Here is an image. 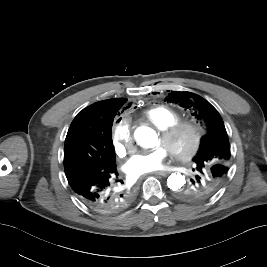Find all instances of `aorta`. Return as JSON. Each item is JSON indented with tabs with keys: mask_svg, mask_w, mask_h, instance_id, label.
Instances as JSON below:
<instances>
[{
	"mask_svg": "<svg viewBox=\"0 0 267 267\" xmlns=\"http://www.w3.org/2000/svg\"><path fill=\"white\" fill-rule=\"evenodd\" d=\"M136 142L145 147L152 148L156 145L158 137L156 132L145 126L138 127L134 132ZM186 183L185 176L181 173H172L167 179V186L172 191L181 190Z\"/></svg>",
	"mask_w": 267,
	"mask_h": 267,
	"instance_id": "1",
	"label": "aorta"
}]
</instances>
